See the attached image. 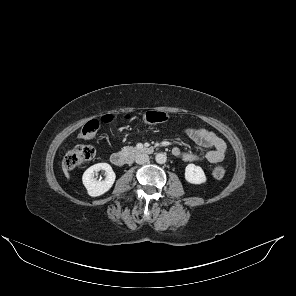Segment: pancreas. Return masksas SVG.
Masks as SVG:
<instances>
[{
	"instance_id": "1",
	"label": "pancreas",
	"mask_w": 296,
	"mask_h": 296,
	"mask_svg": "<svg viewBox=\"0 0 296 296\" xmlns=\"http://www.w3.org/2000/svg\"><path fill=\"white\" fill-rule=\"evenodd\" d=\"M123 153H135L137 152V148L133 146H126L122 148Z\"/></svg>"
}]
</instances>
